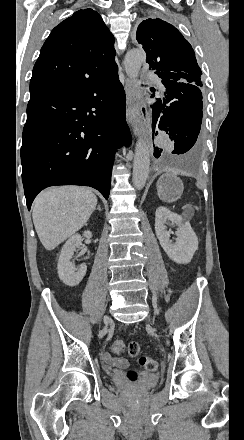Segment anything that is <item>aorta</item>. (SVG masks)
<instances>
[{
  "mask_svg": "<svg viewBox=\"0 0 244 440\" xmlns=\"http://www.w3.org/2000/svg\"><path fill=\"white\" fill-rule=\"evenodd\" d=\"M146 59L143 50L133 49L127 52L124 60L125 72L132 82H137V77L141 65ZM150 166V148L149 143L144 138H139L135 145V154L133 160L132 182L135 188L142 189L147 181Z\"/></svg>",
  "mask_w": 244,
  "mask_h": 440,
  "instance_id": "aorta-1",
  "label": "aorta"
}]
</instances>
